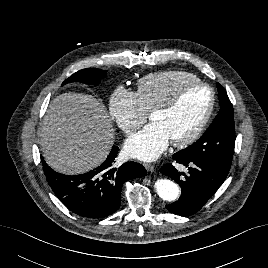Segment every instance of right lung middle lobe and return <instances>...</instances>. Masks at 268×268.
I'll list each match as a JSON object with an SVG mask.
<instances>
[{
    "instance_id": "1",
    "label": "right lung middle lobe",
    "mask_w": 268,
    "mask_h": 268,
    "mask_svg": "<svg viewBox=\"0 0 268 268\" xmlns=\"http://www.w3.org/2000/svg\"><path fill=\"white\" fill-rule=\"evenodd\" d=\"M106 74V71L101 69L87 68L74 73L63 84L73 81H80L85 84H97Z\"/></svg>"
}]
</instances>
